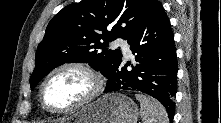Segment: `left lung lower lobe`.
Returning <instances> with one entry per match:
<instances>
[{
	"label": "left lung lower lobe",
	"instance_id": "obj_1",
	"mask_svg": "<svg viewBox=\"0 0 221 123\" xmlns=\"http://www.w3.org/2000/svg\"><path fill=\"white\" fill-rule=\"evenodd\" d=\"M127 40L136 63L124 64L121 56L108 77L104 92L134 90L146 93L165 106L172 120L178 64L170 21L159 1ZM128 66L131 69H127Z\"/></svg>",
	"mask_w": 221,
	"mask_h": 123
}]
</instances>
